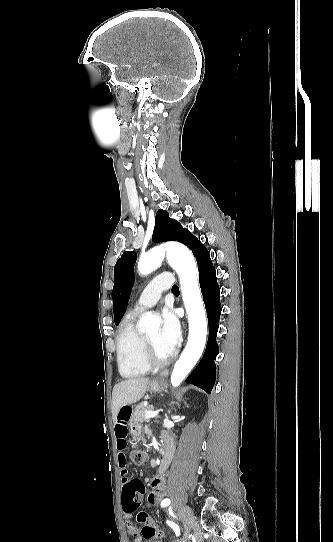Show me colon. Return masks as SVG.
<instances>
[{"label": "colon", "instance_id": "obj_1", "mask_svg": "<svg viewBox=\"0 0 333 542\" xmlns=\"http://www.w3.org/2000/svg\"><path fill=\"white\" fill-rule=\"evenodd\" d=\"M146 458L147 453L144 450L134 451L131 454V460L137 466L143 464ZM122 492L125 499L130 500L124 503L123 514L130 515L133 512V516H138L137 523L144 525L142 533L149 539H159L161 533L157 527L150 525L152 523V518L149 516V512L146 509H139L140 499L144 493L142 481H131L128 487H122Z\"/></svg>", "mask_w": 333, "mask_h": 542}]
</instances>
